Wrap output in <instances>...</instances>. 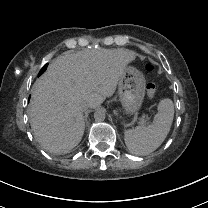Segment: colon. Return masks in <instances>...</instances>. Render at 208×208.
I'll return each instance as SVG.
<instances>
[{"instance_id":"1","label":"colon","mask_w":208,"mask_h":208,"mask_svg":"<svg viewBox=\"0 0 208 208\" xmlns=\"http://www.w3.org/2000/svg\"><path fill=\"white\" fill-rule=\"evenodd\" d=\"M154 68H155V66L151 62H147L145 64V69L148 72H152L154 70ZM146 90H147V93H148V96L150 97V99H153L154 98V95H155V92H156V85H155V83L154 82H149L146 85Z\"/></svg>"}]
</instances>
